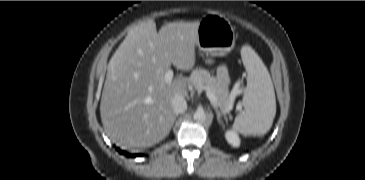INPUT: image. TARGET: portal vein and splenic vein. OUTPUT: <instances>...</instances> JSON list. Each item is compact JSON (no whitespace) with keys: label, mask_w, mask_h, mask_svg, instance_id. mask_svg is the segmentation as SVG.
Returning a JSON list of instances; mask_svg holds the SVG:
<instances>
[{"label":"portal vein and splenic vein","mask_w":365,"mask_h":180,"mask_svg":"<svg viewBox=\"0 0 365 180\" xmlns=\"http://www.w3.org/2000/svg\"><path fill=\"white\" fill-rule=\"evenodd\" d=\"M173 76H174V73L171 69L167 70L165 75H164V78H165V81L168 82V83H171L172 82V79H173ZM208 99L210 100L211 104L216 106L217 105V98L216 96L211 93L210 91H207L206 93ZM232 109V106L229 108V111Z\"/></svg>","instance_id":"portal-vein-and-splenic-vein-1"}]
</instances>
